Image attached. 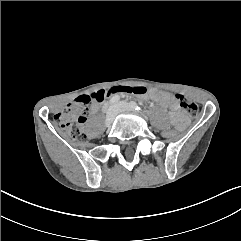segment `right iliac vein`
Returning <instances> with one entry per match:
<instances>
[{"label": "right iliac vein", "mask_w": 241, "mask_h": 241, "mask_svg": "<svg viewBox=\"0 0 241 241\" xmlns=\"http://www.w3.org/2000/svg\"><path fill=\"white\" fill-rule=\"evenodd\" d=\"M118 111H119V109L116 105L109 107L107 114H106V118H105V124L107 126H110L113 123L116 115L118 114Z\"/></svg>", "instance_id": "obj_1"}]
</instances>
